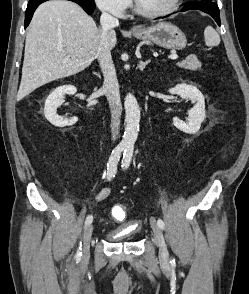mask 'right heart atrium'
<instances>
[{
	"mask_svg": "<svg viewBox=\"0 0 249 294\" xmlns=\"http://www.w3.org/2000/svg\"><path fill=\"white\" fill-rule=\"evenodd\" d=\"M96 6L113 16L122 17L130 6V0H94Z\"/></svg>",
	"mask_w": 249,
	"mask_h": 294,
	"instance_id": "right-heart-atrium-1",
	"label": "right heart atrium"
}]
</instances>
